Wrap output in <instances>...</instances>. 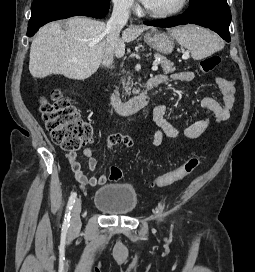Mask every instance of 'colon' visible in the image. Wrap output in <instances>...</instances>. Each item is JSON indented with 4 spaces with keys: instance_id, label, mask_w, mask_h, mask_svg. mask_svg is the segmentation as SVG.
<instances>
[{
    "instance_id": "5ec220e1",
    "label": "colon",
    "mask_w": 255,
    "mask_h": 272,
    "mask_svg": "<svg viewBox=\"0 0 255 272\" xmlns=\"http://www.w3.org/2000/svg\"><path fill=\"white\" fill-rule=\"evenodd\" d=\"M220 61V56L209 55L201 60L200 69L204 73L212 72L218 67ZM40 113L53 142L62 149L76 151L92 141L93 127L79 117L78 111L59 90L51 91L47 98L42 99ZM199 163L200 157L192 155L175 170L157 177L153 185L165 187L180 181L190 175ZM121 177V169L116 166L111 167L110 179L116 181Z\"/></svg>"
}]
</instances>
